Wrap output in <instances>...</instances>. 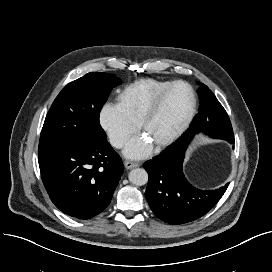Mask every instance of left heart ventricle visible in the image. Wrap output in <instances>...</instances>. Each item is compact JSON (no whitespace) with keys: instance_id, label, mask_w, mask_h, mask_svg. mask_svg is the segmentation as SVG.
Returning a JSON list of instances; mask_svg holds the SVG:
<instances>
[{"instance_id":"1","label":"left heart ventricle","mask_w":272,"mask_h":272,"mask_svg":"<svg viewBox=\"0 0 272 272\" xmlns=\"http://www.w3.org/2000/svg\"><path fill=\"white\" fill-rule=\"evenodd\" d=\"M190 107V95L184 86L175 87L167 96L157 113L150 119L143 130L152 145H156L170 134L184 120Z\"/></svg>"}]
</instances>
